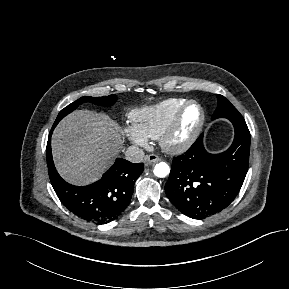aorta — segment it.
<instances>
[{
    "instance_id": "obj_1",
    "label": "aorta",
    "mask_w": 289,
    "mask_h": 289,
    "mask_svg": "<svg viewBox=\"0 0 289 289\" xmlns=\"http://www.w3.org/2000/svg\"><path fill=\"white\" fill-rule=\"evenodd\" d=\"M170 173V167L165 162H159L155 165L154 174L157 177L164 178Z\"/></svg>"
}]
</instances>
